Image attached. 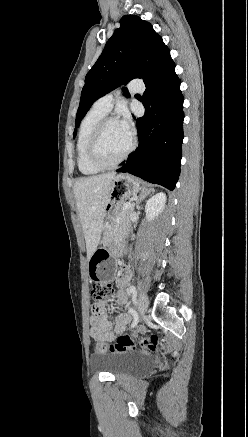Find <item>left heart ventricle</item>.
I'll list each match as a JSON object with an SVG mask.
<instances>
[{
	"label": "left heart ventricle",
	"mask_w": 248,
	"mask_h": 437,
	"mask_svg": "<svg viewBox=\"0 0 248 437\" xmlns=\"http://www.w3.org/2000/svg\"><path fill=\"white\" fill-rule=\"evenodd\" d=\"M131 138L121 129L118 122L109 123L102 135L99 155L107 163L115 161L128 148Z\"/></svg>",
	"instance_id": "obj_1"
}]
</instances>
